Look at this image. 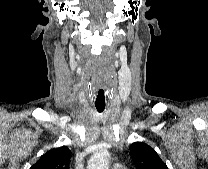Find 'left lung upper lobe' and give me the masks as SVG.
I'll return each instance as SVG.
<instances>
[{
  "mask_svg": "<svg viewBox=\"0 0 208 169\" xmlns=\"http://www.w3.org/2000/svg\"><path fill=\"white\" fill-rule=\"evenodd\" d=\"M130 152L137 169H168L155 150L145 143H132Z\"/></svg>",
  "mask_w": 208,
  "mask_h": 169,
  "instance_id": "obj_1",
  "label": "left lung upper lobe"
}]
</instances>
